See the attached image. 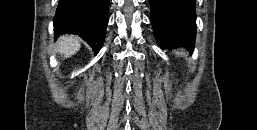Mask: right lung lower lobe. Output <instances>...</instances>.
I'll return each instance as SVG.
<instances>
[{
  "mask_svg": "<svg viewBox=\"0 0 257 130\" xmlns=\"http://www.w3.org/2000/svg\"><path fill=\"white\" fill-rule=\"evenodd\" d=\"M108 6L109 0H60L54 17L56 35L70 31L98 53L105 39Z\"/></svg>",
  "mask_w": 257,
  "mask_h": 130,
  "instance_id": "obj_1",
  "label": "right lung lower lobe"
}]
</instances>
